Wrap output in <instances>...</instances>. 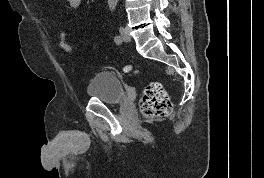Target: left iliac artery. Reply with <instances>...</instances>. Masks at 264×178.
<instances>
[{"instance_id":"44dca946","label":"left iliac artery","mask_w":264,"mask_h":178,"mask_svg":"<svg viewBox=\"0 0 264 178\" xmlns=\"http://www.w3.org/2000/svg\"><path fill=\"white\" fill-rule=\"evenodd\" d=\"M114 41H115V43H117V44H119V43L122 42L121 37L118 36V35L114 37Z\"/></svg>"}]
</instances>
